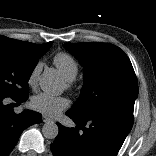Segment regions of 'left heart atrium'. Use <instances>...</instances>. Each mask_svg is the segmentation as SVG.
Here are the masks:
<instances>
[{
	"label": "left heart atrium",
	"mask_w": 156,
	"mask_h": 156,
	"mask_svg": "<svg viewBox=\"0 0 156 156\" xmlns=\"http://www.w3.org/2000/svg\"><path fill=\"white\" fill-rule=\"evenodd\" d=\"M69 104L66 97L53 96L48 93H39L31 99V106L34 110L51 117L68 108Z\"/></svg>",
	"instance_id": "left-heart-atrium-1"
}]
</instances>
